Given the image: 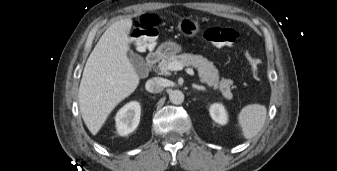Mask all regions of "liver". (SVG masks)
Listing matches in <instances>:
<instances>
[{
	"label": "liver",
	"mask_w": 337,
	"mask_h": 171,
	"mask_svg": "<svg viewBox=\"0 0 337 171\" xmlns=\"http://www.w3.org/2000/svg\"><path fill=\"white\" fill-rule=\"evenodd\" d=\"M132 19L106 29L87 59L78 91L80 112L89 131L96 135L111 111L139 84L127 52Z\"/></svg>",
	"instance_id": "liver-1"
}]
</instances>
